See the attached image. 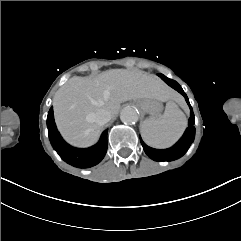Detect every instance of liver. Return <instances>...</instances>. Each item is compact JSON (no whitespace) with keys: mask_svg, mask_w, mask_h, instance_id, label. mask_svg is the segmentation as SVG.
<instances>
[{"mask_svg":"<svg viewBox=\"0 0 241 241\" xmlns=\"http://www.w3.org/2000/svg\"><path fill=\"white\" fill-rule=\"evenodd\" d=\"M176 94L156 75L141 71L113 69L97 76L70 78L55 93L54 116L63 138L71 145L94 144L101 125L86 121L89 113L105 109L114 118L123 102L137 99L171 101Z\"/></svg>","mask_w":241,"mask_h":241,"instance_id":"1","label":"liver"}]
</instances>
